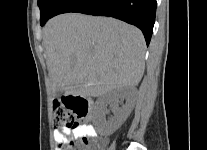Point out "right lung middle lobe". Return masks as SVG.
<instances>
[{
	"instance_id": "right-lung-middle-lobe-1",
	"label": "right lung middle lobe",
	"mask_w": 207,
	"mask_h": 150,
	"mask_svg": "<svg viewBox=\"0 0 207 150\" xmlns=\"http://www.w3.org/2000/svg\"><path fill=\"white\" fill-rule=\"evenodd\" d=\"M63 0H38L40 8V23L45 24L46 21L53 17L57 7Z\"/></svg>"
}]
</instances>
